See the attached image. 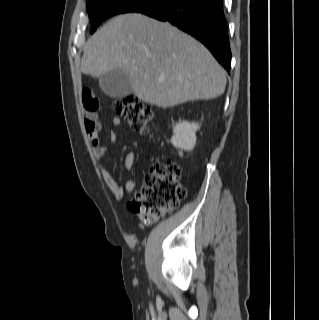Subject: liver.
Here are the masks:
<instances>
[{
  "instance_id": "obj_1",
  "label": "liver",
  "mask_w": 319,
  "mask_h": 320,
  "mask_svg": "<svg viewBox=\"0 0 319 320\" xmlns=\"http://www.w3.org/2000/svg\"><path fill=\"white\" fill-rule=\"evenodd\" d=\"M114 70L129 76L137 98L162 108L217 98L226 85L224 69L201 43L138 13L113 18L85 44L83 74Z\"/></svg>"
}]
</instances>
